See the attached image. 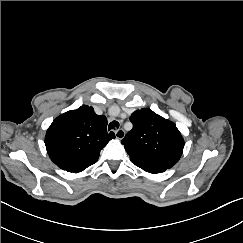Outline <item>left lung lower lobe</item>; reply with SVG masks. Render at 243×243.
<instances>
[{"label": "left lung lower lobe", "mask_w": 243, "mask_h": 243, "mask_svg": "<svg viewBox=\"0 0 243 243\" xmlns=\"http://www.w3.org/2000/svg\"><path fill=\"white\" fill-rule=\"evenodd\" d=\"M136 166L140 167L141 169H143L144 171L146 172H149V173H161V172H164L166 169L165 168H162V167H156V166H150V165H144V164H137V163H134Z\"/></svg>", "instance_id": "obj_1"}]
</instances>
